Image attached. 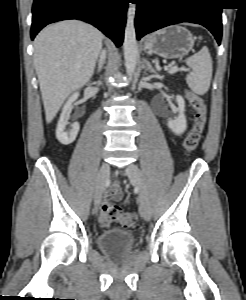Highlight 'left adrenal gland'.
I'll list each match as a JSON object with an SVG mask.
<instances>
[{
	"mask_svg": "<svg viewBox=\"0 0 246 300\" xmlns=\"http://www.w3.org/2000/svg\"><path fill=\"white\" fill-rule=\"evenodd\" d=\"M144 63L146 65V70L149 71L150 73H153L155 75H157V72L155 71V69L152 67V65L150 64V62L147 59H144Z\"/></svg>",
	"mask_w": 246,
	"mask_h": 300,
	"instance_id": "obj_1",
	"label": "left adrenal gland"
}]
</instances>
